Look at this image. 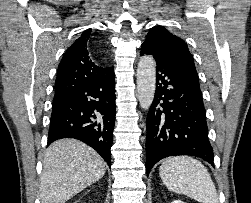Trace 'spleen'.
Wrapping results in <instances>:
<instances>
[{
  "label": "spleen",
  "mask_w": 251,
  "mask_h": 203,
  "mask_svg": "<svg viewBox=\"0 0 251 203\" xmlns=\"http://www.w3.org/2000/svg\"><path fill=\"white\" fill-rule=\"evenodd\" d=\"M159 175L172 192L185 194L201 203H219L207 168L190 156L166 159L159 167Z\"/></svg>",
  "instance_id": "obj_1"
}]
</instances>
